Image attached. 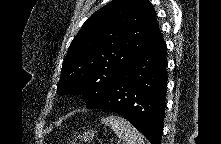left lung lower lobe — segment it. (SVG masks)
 I'll return each instance as SVG.
<instances>
[{
    "label": "left lung lower lobe",
    "instance_id": "0a47b994",
    "mask_svg": "<svg viewBox=\"0 0 221 144\" xmlns=\"http://www.w3.org/2000/svg\"><path fill=\"white\" fill-rule=\"evenodd\" d=\"M166 67V45L158 30L89 109L118 113L135 126L151 144H160L165 116Z\"/></svg>",
    "mask_w": 221,
    "mask_h": 144
}]
</instances>
